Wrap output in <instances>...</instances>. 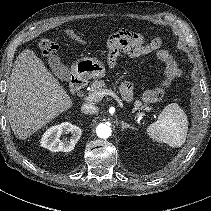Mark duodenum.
Here are the masks:
<instances>
[{
  "label": "duodenum",
  "instance_id": "obj_1",
  "mask_svg": "<svg viewBox=\"0 0 211 211\" xmlns=\"http://www.w3.org/2000/svg\"><path fill=\"white\" fill-rule=\"evenodd\" d=\"M84 85L85 83L81 74L78 72H73L71 75V84H70L71 92L73 94H79L82 91Z\"/></svg>",
  "mask_w": 211,
  "mask_h": 211
}]
</instances>
